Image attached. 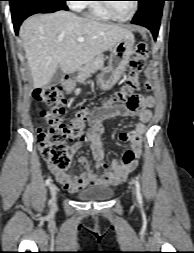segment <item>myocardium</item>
Here are the masks:
<instances>
[{
	"label": "myocardium",
	"mask_w": 194,
	"mask_h": 253,
	"mask_svg": "<svg viewBox=\"0 0 194 253\" xmlns=\"http://www.w3.org/2000/svg\"><path fill=\"white\" fill-rule=\"evenodd\" d=\"M104 1H107V0H104ZM134 7H133V10L131 12V14L126 17V18H120L118 17L112 10V8L110 7L109 3L107 2H102L100 3L102 8L105 10V12L110 16L111 19L115 20V21H118V22H127V21H130L136 14L137 10H138V1L137 0H134Z\"/></svg>",
	"instance_id": "1"
}]
</instances>
